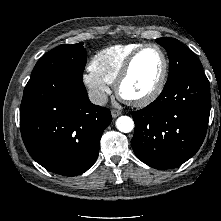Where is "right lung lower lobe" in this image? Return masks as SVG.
<instances>
[{
	"label": "right lung lower lobe",
	"mask_w": 221,
	"mask_h": 221,
	"mask_svg": "<svg viewBox=\"0 0 221 221\" xmlns=\"http://www.w3.org/2000/svg\"><path fill=\"white\" fill-rule=\"evenodd\" d=\"M111 121L109 109L92 104L81 81L30 79L24 89L22 139L31 157L51 172L76 176L88 170Z\"/></svg>",
	"instance_id": "right-lung-lower-lobe-1"
}]
</instances>
